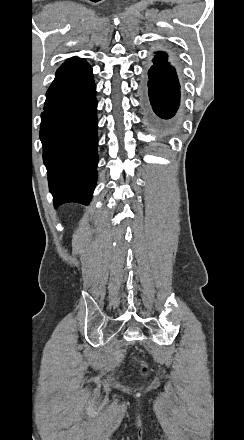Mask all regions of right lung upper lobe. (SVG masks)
<instances>
[{
    "label": "right lung upper lobe",
    "mask_w": 244,
    "mask_h": 440,
    "mask_svg": "<svg viewBox=\"0 0 244 440\" xmlns=\"http://www.w3.org/2000/svg\"><path fill=\"white\" fill-rule=\"evenodd\" d=\"M67 62H80V63H87L84 59L78 58V57H73L69 60H67L65 63Z\"/></svg>",
    "instance_id": "1"
}]
</instances>
